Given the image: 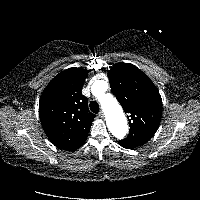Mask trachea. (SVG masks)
Returning a JSON list of instances; mask_svg holds the SVG:
<instances>
[{
  "mask_svg": "<svg viewBox=\"0 0 200 200\" xmlns=\"http://www.w3.org/2000/svg\"><path fill=\"white\" fill-rule=\"evenodd\" d=\"M89 106H90V110L93 113L97 114L99 112V104L96 101L90 102Z\"/></svg>",
  "mask_w": 200,
  "mask_h": 200,
  "instance_id": "3493384b",
  "label": "trachea"
}]
</instances>
